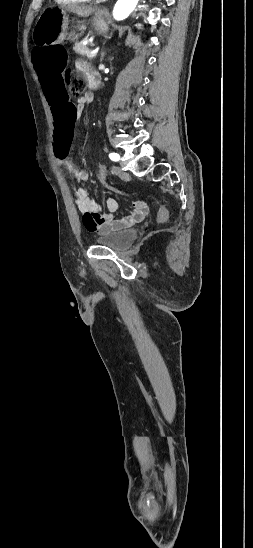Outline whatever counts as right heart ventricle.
Masks as SVG:
<instances>
[{
	"label": "right heart ventricle",
	"instance_id": "1",
	"mask_svg": "<svg viewBox=\"0 0 253 548\" xmlns=\"http://www.w3.org/2000/svg\"><path fill=\"white\" fill-rule=\"evenodd\" d=\"M88 0H55L56 3L60 5H75V4H81Z\"/></svg>",
	"mask_w": 253,
	"mask_h": 548
}]
</instances>
